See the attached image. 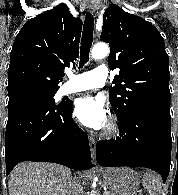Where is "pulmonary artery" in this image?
Here are the masks:
<instances>
[{
  "instance_id": "e3ab8cb5",
  "label": "pulmonary artery",
  "mask_w": 178,
  "mask_h": 195,
  "mask_svg": "<svg viewBox=\"0 0 178 195\" xmlns=\"http://www.w3.org/2000/svg\"><path fill=\"white\" fill-rule=\"evenodd\" d=\"M107 78L108 69L104 65L80 74L70 73L68 75V81L60 89V94L67 95L103 87Z\"/></svg>"
}]
</instances>
